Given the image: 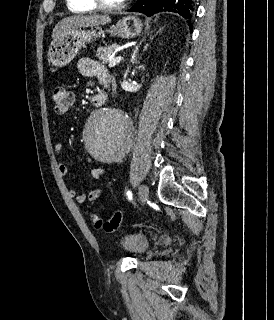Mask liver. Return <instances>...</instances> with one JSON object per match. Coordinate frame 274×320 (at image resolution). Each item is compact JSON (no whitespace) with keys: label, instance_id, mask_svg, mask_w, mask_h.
Wrapping results in <instances>:
<instances>
[{"label":"liver","instance_id":"6515ba94","mask_svg":"<svg viewBox=\"0 0 274 320\" xmlns=\"http://www.w3.org/2000/svg\"><path fill=\"white\" fill-rule=\"evenodd\" d=\"M111 18L109 16H98V14H91V16H69V18H64L61 22L56 24L52 40H56L57 36H60L61 32L64 30H73V28H88V26H105L109 24Z\"/></svg>","mask_w":274,"mask_h":320}]
</instances>
